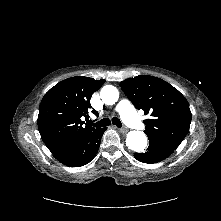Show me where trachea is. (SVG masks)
<instances>
[{
    "label": "trachea",
    "instance_id": "obj_1",
    "mask_svg": "<svg viewBox=\"0 0 221 221\" xmlns=\"http://www.w3.org/2000/svg\"><path fill=\"white\" fill-rule=\"evenodd\" d=\"M112 124L116 125L117 127H121L122 123L117 117H113L111 120L108 118L102 119L96 123H93L91 120H87V124L92 125L96 128L106 127L108 125Z\"/></svg>",
    "mask_w": 221,
    "mask_h": 221
}]
</instances>
